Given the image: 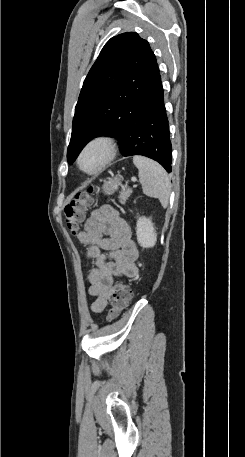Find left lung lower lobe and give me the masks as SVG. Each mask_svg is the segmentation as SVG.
Instances as JSON below:
<instances>
[{
    "label": "left lung lower lobe",
    "mask_w": 245,
    "mask_h": 457,
    "mask_svg": "<svg viewBox=\"0 0 245 457\" xmlns=\"http://www.w3.org/2000/svg\"><path fill=\"white\" fill-rule=\"evenodd\" d=\"M98 136L117 138L123 156H146L171 172L172 145L159 72L144 103Z\"/></svg>",
    "instance_id": "left-lung-lower-lobe-1"
}]
</instances>
